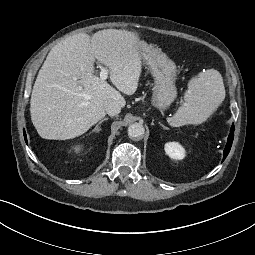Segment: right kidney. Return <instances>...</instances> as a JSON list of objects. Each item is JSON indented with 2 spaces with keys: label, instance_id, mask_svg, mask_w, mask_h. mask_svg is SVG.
<instances>
[{
  "label": "right kidney",
  "instance_id": "ca27d5eb",
  "mask_svg": "<svg viewBox=\"0 0 255 255\" xmlns=\"http://www.w3.org/2000/svg\"><path fill=\"white\" fill-rule=\"evenodd\" d=\"M82 145L80 146V145H77V146H75L74 147V150L76 151V152H79L81 149H82Z\"/></svg>",
  "mask_w": 255,
  "mask_h": 255
}]
</instances>
